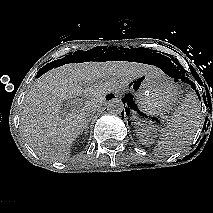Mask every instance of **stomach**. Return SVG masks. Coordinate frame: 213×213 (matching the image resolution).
Segmentation results:
<instances>
[{"label":"stomach","mask_w":213,"mask_h":213,"mask_svg":"<svg viewBox=\"0 0 213 213\" xmlns=\"http://www.w3.org/2000/svg\"><path fill=\"white\" fill-rule=\"evenodd\" d=\"M140 110L152 117L170 111L179 101L175 84L164 76L145 74L134 80Z\"/></svg>","instance_id":"stomach-1"}]
</instances>
